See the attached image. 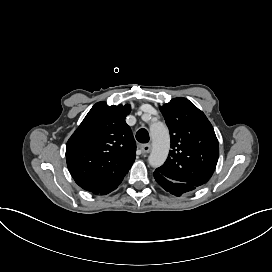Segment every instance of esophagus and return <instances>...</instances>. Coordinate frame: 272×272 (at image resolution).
I'll list each match as a JSON object with an SVG mask.
<instances>
[{"instance_id": "1", "label": "esophagus", "mask_w": 272, "mask_h": 272, "mask_svg": "<svg viewBox=\"0 0 272 272\" xmlns=\"http://www.w3.org/2000/svg\"><path fill=\"white\" fill-rule=\"evenodd\" d=\"M141 150L144 153H149L151 151V145L149 144H144L141 146Z\"/></svg>"}]
</instances>
